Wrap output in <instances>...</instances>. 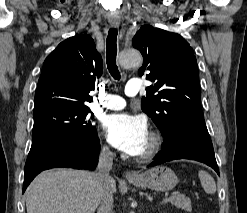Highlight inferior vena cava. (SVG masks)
Listing matches in <instances>:
<instances>
[{
  "label": "inferior vena cava",
  "mask_w": 247,
  "mask_h": 213,
  "mask_svg": "<svg viewBox=\"0 0 247 213\" xmlns=\"http://www.w3.org/2000/svg\"><path fill=\"white\" fill-rule=\"evenodd\" d=\"M113 152L108 147L101 149L96 175L100 182L99 205L97 213H113V195L110 190L112 178L109 173L113 165Z\"/></svg>",
  "instance_id": "obj_1"
}]
</instances>
